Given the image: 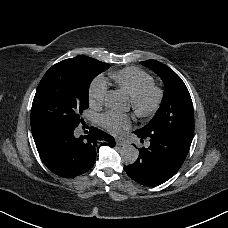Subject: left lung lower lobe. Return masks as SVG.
<instances>
[{"instance_id":"1","label":"left lung lower lobe","mask_w":228,"mask_h":228,"mask_svg":"<svg viewBox=\"0 0 228 228\" xmlns=\"http://www.w3.org/2000/svg\"><path fill=\"white\" fill-rule=\"evenodd\" d=\"M134 133L141 142L146 139L150 144L139 149L137 161L124 166V170L134 181L148 187L166 182L179 170L192 142V138L166 133L143 134L139 130Z\"/></svg>"}]
</instances>
